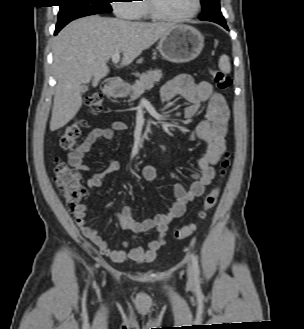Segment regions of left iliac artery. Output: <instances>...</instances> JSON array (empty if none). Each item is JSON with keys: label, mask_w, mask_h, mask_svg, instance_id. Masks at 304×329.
Returning a JSON list of instances; mask_svg holds the SVG:
<instances>
[{"label": "left iliac artery", "mask_w": 304, "mask_h": 329, "mask_svg": "<svg viewBox=\"0 0 304 329\" xmlns=\"http://www.w3.org/2000/svg\"><path fill=\"white\" fill-rule=\"evenodd\" d=\"M191 259H192V268L194 271L195 276L199 275V266H198V259L195 256V254L191 255Z\"/></svg>", "instance_id": "obj_1"}]
</instances>
